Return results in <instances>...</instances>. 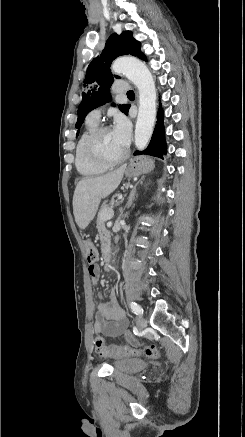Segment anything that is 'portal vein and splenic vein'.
Returning a JSON list of instances; mask_svg holds the SVG:
<instances>
[{"mask_svg": "<svg viewBox=\"0 0 245 437\" xmlns=\"http://www.w3.org/2000/svg\"><path fill=\"white\" fill-rule=\"evenodd\" d=\"M118 199H119V200L122 199V195H119V196H118ZM112 216H113V213L110 214V215H108V216L106 217L107 220L110 219Z\"/></svg>", "mask_w": 245, "mask_h": 437, "instance_id": "1", "label": "portal vein and splenic vein"}]
</instances>
